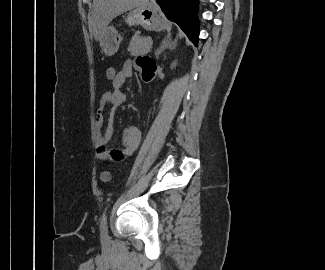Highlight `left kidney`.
<instances>
[{
    "label": "left kidney",
    "mask_w": 325,
    "mask_h": 270,
    "mask_svg": "<svg viewBox=\"0 0 325 270\" xmlns=\"http://www.w3.org/2000/svg\"><path fill=\"white\" fill-rule=\"evenodd\" d=\"M176 64H177V62L174 61V62L171 64V69L175 68V67H176Z\"/></svg>",
    "instance_id": "1"
}]
</instances>
